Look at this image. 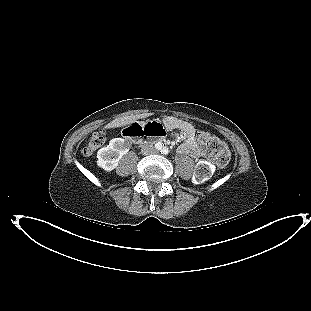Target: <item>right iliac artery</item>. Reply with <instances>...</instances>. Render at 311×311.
Segmentation results:
<instances>
[{
	"mask_svg": "<svg viewBox=\"0 0 311 311\" xmlns=\"http://www.w3.org/2000/svg\"><path fill=\"white\" fill-rule=\"evenodd\" d=\"M162 147H163V144H162L161 142H158V143H156V145H155V148H156L157 150H161Z\"/></svg>",
	"mask_w": 311,
	"mask_h": 311,
	"instance_id": "1",
	"label": "right iliac artery"
}]
</instances>
